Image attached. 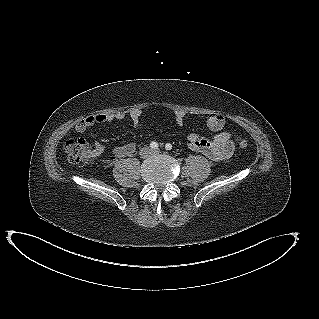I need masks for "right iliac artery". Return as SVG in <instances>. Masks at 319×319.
<instances>
[{
    "mask_svg": "<svg viewBox=\"0 0 319 319\" xmlns=\"http://www.w3.org/2000/svg\"><path fill=\"white\" fill-rule=\"evenodd\" d=\"M150 147H151L152 149H158V144L153 141V142L150 143Z\"/></svg>",
    "mask_w": 319,
    "mask_h": 319,
    "instance_id": "1",
    "label": "right iliac artery"
}]
</instances>
